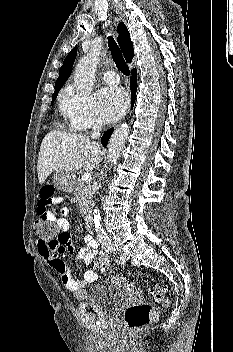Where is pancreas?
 <instances>
[{"instance_id":"cf45deb5","label":"pancreas","mask_w":233,"mask_h":352,"mask_svg":"<svg viewBox=\"0 0 233 352\" xmlns=\"http://www.w3.org/2000/svg\"><path fill=\"white\" fill-rule=\"evenodd\" d=\"M73 192L78 199V209L84 212L92 199V186L89 183L85 184L81 179H74Z\"/></svg>"}]
</instances>
